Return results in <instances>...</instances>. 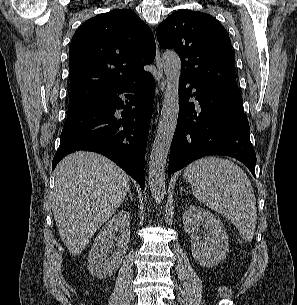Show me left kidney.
I'll list each match as a JSON object with an SVG mask.
<instances>
[{
  "label": "left kidney",
  "instance_id": "left-kidney-1",
  "mask_svg": "<svg viewBox=\"0 0 297 305\" xmlns=\"http://www.w3.org/2000/svg\"><path fill=\"white\" fill-rule=\"evenodd\" d=\"M200 223L207 232V237L203 241L197 235ZM183 224L186 233L191 237V252L198 264L211 267L227 256L229 252L227 232L215 215L191 205L183 214Z\"/></svg>",
  "mask_w": 297,
  "mask_h": 305
}]
</instances>
